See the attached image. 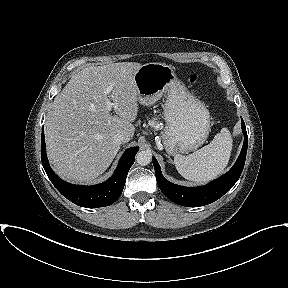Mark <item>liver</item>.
<instances>
[{"instance_id":"obj_1","label":"liver","mask_w":288,"mask_h":288,"mask_svg":"<svg viewBox=\"0 0 288 288\" xmlns=\"http://www.w3.org/2000/svg\"><path fill=\"white\" fill-rule=\"evenodd\" d=\"M136 62L91 66L72 76L55 97L45 122L47 155L55 172L68 181L89 182L111 164L121 143L132 139L138 114ZM107 88L111 91L105 96ZM115 104L116 115L106 102Z\"/></svg>"}]
</instances>
